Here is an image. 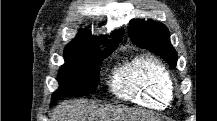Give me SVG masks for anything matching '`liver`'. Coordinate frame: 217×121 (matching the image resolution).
Instances as JSON below:
<instances>
[{"mask_svg": "<svg viewBox=\"0 0 217 121\" xmlns=\"http://www.w3.org/2000/svg\"><path fill=\"white\" fill-rule=\"evenodd\" d=\"M129 119L119 109L99 107L79 100L60 103L51 116V121H123Z\"/></svg>", "mask_w": 217, "mask_h": 121, "instance_id": "1", "label": "liver"}]
</instances>
